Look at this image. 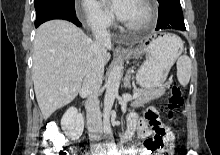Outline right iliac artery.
I'll return each mask as SVG.
<instances>
[{
    "instance_id": "82829eb1",
    "label": "right iliac artery",
    "mask_w": 220,
    "mask_h": 155,
    "mask_svg": "<svg viewBox=\"0 0 220 155\" xmlns=\"http://www.w3.org/2000/svg\"><path fill=\"white\" fill-rule=\"evenodd\" d=\"M108 155H112L111 152H108Z\"/></svg>"
}]
</instances>
